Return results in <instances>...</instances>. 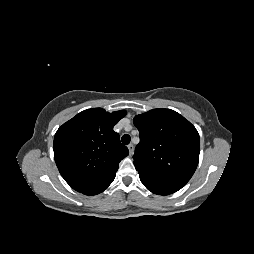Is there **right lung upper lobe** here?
<instances>
[{"label":"right lung upper lobe","instance_id":"cb5924a9","mask_svg":"<svg viewBox=\"0 0 254 254\" xmlns=\"http://www.w3.org/2000/svg\"><path fill=\"white\" fill-rule=\"evenodd\" d=\"M125 115V110L109 113L102 108L88 109L57 130L54 159L74 190L92 188L115 176L119 162L129 154L113 131Z\"/></svg>","mask_w":254,"mask_h":254}]
</instances>
